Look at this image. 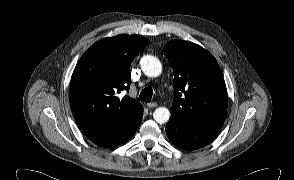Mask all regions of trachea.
Returning <instances> with one entry per match:
<instances>
[{"instance_id": "3493384b", "label": "trachea", "mask_w": 294, "mask_h": 180, "mask_svg": "<svg viewBox=\"0 0 294 180\" xmlns=\"http://www.w3.org/2000/svg\"><path fill=\"white\" fill-rule=\"evenodd\" d=\"M153 97V90L150 87L143 89L139 95V100L144 102H150Z\"/></svg>"}]
</instances>
